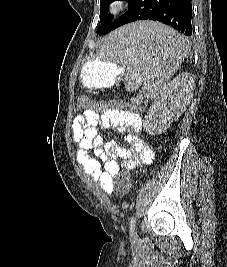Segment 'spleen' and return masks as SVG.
<instances>
[{
  "mask_svg": "<svg viewBox=\"0 0 227 267\" xmlns=\"http://www.w3.org/2000/svg\"><path fill=\"white\" fill-rule=\"evenodd\" d=\"M101 41L105 42H96V47H103L102 55H111L114 63H138L122 80L143 81L148 96L167 87L188 52L184 38L157 19H134L101 36Z\"/></svg>",
  "mask_w": 227,
  "mask_h": 267,
  "instance_id": "3e777b00",
  "label": "spleen"
}]
</instances>
